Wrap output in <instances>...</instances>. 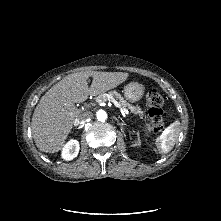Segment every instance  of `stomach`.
<instances>
[{"label":"stomach","instance_id":"stomach-1","mask_svg":"<svg viewBox=\"0 0 221 221\" xmlns=\"http://www.w3.org/2000/svg\"><path fill=\"white\" fill-rule=\"evenodd\" d=\"M144 94V86L138 82H130L124 87V96L130 102L139 101Z\"/></svg>","mask_w":221,"mask_h":221}]
</instances>
